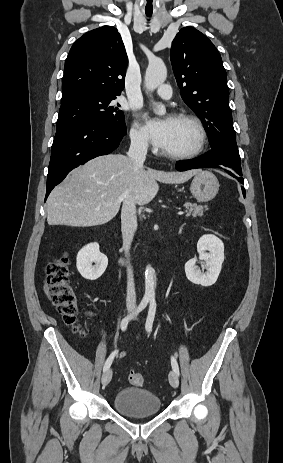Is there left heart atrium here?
<instances>
[{"instance_id":"left-heart-atrium-1","label":"left heart atrium","mask_w":283,"mask_h":463,"mask_svg":"<svg viewBox=\"0 0 283 463\" xmlns=\"http://www.w3.org/2000/svg\"><path fill=\"white\" fill-rule=\"evenodd\" d=\"M144 128L147 136L156 147L161 149L165 147L169 139L171 120L148 117Z\"/></svg>"}]
</instances>
